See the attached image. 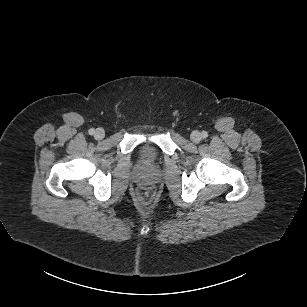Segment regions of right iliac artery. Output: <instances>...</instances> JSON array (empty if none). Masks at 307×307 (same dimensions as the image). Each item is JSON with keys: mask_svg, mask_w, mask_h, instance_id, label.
<instances>
[{"mask_svg": "<svg viewBox=\"0 0 307 307\" xmlns=\"http://www.w3.org/2000/svg\"><path fill=\"white\" fill-rule=\"evenodd\" d=\"M88 132H89V134H90V135L95 134V130H94L93 128L89 129V131H88Z\"/></svg>", "mask_w": 307, "mask_h": 307, "instance_id": "right-iliac-artery-1", "label": "right iliac artery"}]
</instances>
